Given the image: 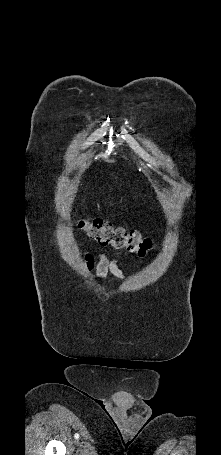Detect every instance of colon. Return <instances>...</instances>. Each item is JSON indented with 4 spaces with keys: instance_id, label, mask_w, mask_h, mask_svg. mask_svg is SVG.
I'll list each match as a JSON object with an SVG mask.
<instances>
[{
    "instance_id": "colon-1",
    "label": "colon",
    "mask_w": 221,
    "mask_h": 455,
    "mask_svg": "<svg viewBox=\"0 0 221 455\" xmlns=\"http://www.w3.org/2000/svg\"><path fill=\"white\" fill-rule=\"evenodd\" d=\"M80 228L97 244L117 250H126L144 257L151 249V242L136 230L114 227L99 219H81Z\"/></svg>"
}]
</instances>
